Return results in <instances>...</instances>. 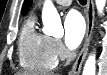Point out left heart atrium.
Masks as SVG:
<instances>
[{
	"instance_id": "39dd6f15",
	"label": "left heart atrium",
	"mask_w": 107,
	"mask_h": 75,
	"mask_svg": "<svg viewBox=\"0 0 107 75\" xmlns=\"http://www.w3.org/2000/svg\"><path fill=\"white\" fill-rule=\"evenodd\" d=\"M85 35V22L76 11H70L64 20V41L69 49L77 48Z\"/></svg>"
}]
</instances>
